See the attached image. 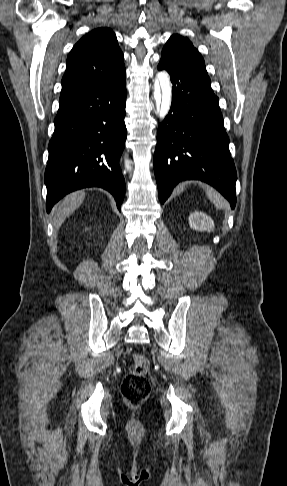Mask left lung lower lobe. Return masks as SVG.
<instances>
[{
  "label": "left lung lower lobe",
  "instance_id": "left-lung-lower-lobe-1",
  "mask_svg": "<svg viewBox=\"0 0 287 486\" xmlns=\"http://www.w3.org/2000/svg\"><path fill=\"white\" fill-rule=\"evenodd\" d=\"M171 76V108L159 125L154 171L161 203L183 180L215 187L234 208L236 169L229 152L219 99L208 85L161 58Z\"/></svg>",
  "mask_w": 287,
  "mask_h": 486
}]
</instances>
